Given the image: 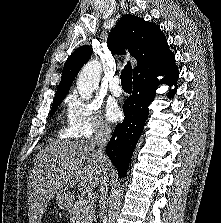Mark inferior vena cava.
<instances>
[{
	"label": "inferior vena cava",
	"mask_w": 221,
	"mask_h": 223,
	"mask_svg": "<svg viewBox=\"0 0 221 223\" xmlns=\"http://www.w3.org/2000/svg\"><path fill=\"white\" fill-rule=\"evenodd\" d=\"M112 130L105 122H99L95 128L92 144L98 146V154L102 160L106 159L104 148L111 138ZM108 192V178L104 175L100 182V207L104 210Z\"/></svg>",
	"instance_id": "inferior-vena-cava-1"
}]
</instances>
